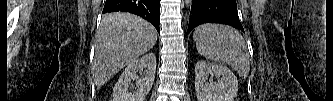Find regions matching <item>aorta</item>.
I'll return each mask as SVG.
<instances>
[{
	"instance_id": "762f6f07",
	"label": "aorta",
	"mask_w": 333,
	"mask_h": 101,
	"mask_svg": "<svg viewBox=\"0 0 333 101\" xmlns=\"http://www.w3.org/2000/svg\"><path fill=\"white\" fill-rule=\"evenodd\" d=\"M191 3V0H186V4H190Z\"/></svg>"
}]
</instances>
